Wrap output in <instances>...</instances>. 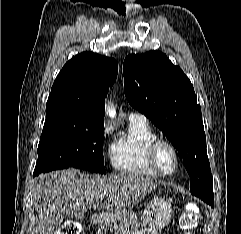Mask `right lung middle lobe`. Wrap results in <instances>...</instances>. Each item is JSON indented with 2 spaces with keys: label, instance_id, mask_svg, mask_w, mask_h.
<instances>
[{
  "label": "right lung middle lobe",
  "instance_id": "dd1d6c3e",
  "mask_svg": "<svg viewBox=\"0 0 241 234\" xmlns=\"http://www.w3.org/2000/svg\"><path fill=\"white\" fill-rule=\"evenodd\" d=\"M104 123L88 122L66 109L46 110L34 173L75 167L106 173Z\"/></svg>",
  "mask_w": 241,
  "mask_h": 234
}]
</instances>
